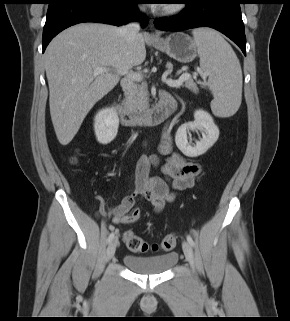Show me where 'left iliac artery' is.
I'll list each match as a JSON object with an SVG mask.
<instances>
[{
    "instance_id": "44dca946",
    "label": "left iliac artery",
    "mask_w": 290,
    "mask_h": 321,
    "mask_svg": "<svg viewBox=\"0 0 290 321\" xmlns=\"http://www.w3.org/2000/svg\"><path fill=\"white\" fill-rule=\"evenodd\" d=\"M186 238H187V241L189 242V244L191 246H193L194 245V241H193L192 237L190 235H187Z\"/></svg>"
}]
</instances>
